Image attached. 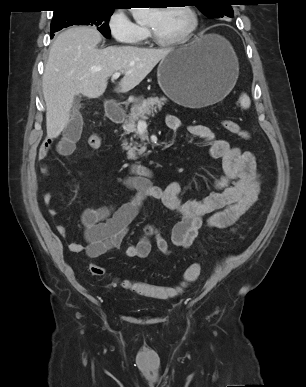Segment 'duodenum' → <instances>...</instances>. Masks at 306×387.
I'll list each match as a JSON object with an SVG mask.
<instances>
[{
	"label": "duodenum",
	"mask_w": 306,
	"mask_h": 387,
	"mask_svg": "<svg viewBox=\"0 0 306 387\" xmlns=\"http://www.w3.org/2000/svg\"><path fill=\"white\" fill-rule=\"evenodd\" d=\"M106 114H107L108 118L114 123H119L124 118L123 109L114 103H109L106 106ZM132 169L134 172H136L140 175H144V176H147L151 173L149 168H147L146 166H143V165H138V164L133 165Z\"/></svg>",
	"instance_id": "410a0bca"
}]
</instances>
